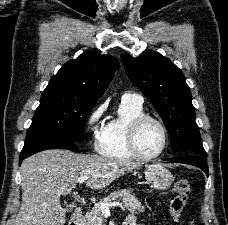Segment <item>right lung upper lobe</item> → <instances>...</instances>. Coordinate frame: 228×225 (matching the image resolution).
<instances>
[{
    "instance_id": "cb5924a9",
    "label": "right lung upper lobe",
    "mask_w": 228,
    "mask_h": 225,
    "mask_svg": "<svg viewBox=\"0 0 228 225\" xmlns=\"http://www.w3.org/2000/svg\"><path fill=\"white\" fill-rule=\"evenodd\" d=\"M117 61L111 55L86 51L71 59L54 75L45 90H55L81 99L97 101L110 83Z\"/></svg>"
}]
</instances>
